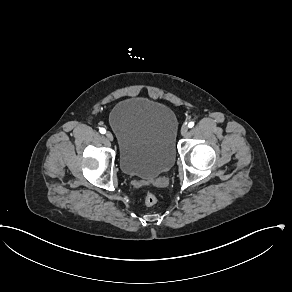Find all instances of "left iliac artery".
Here are the masks:
<instances>
[{
  "mask_svg": "<svg viewBox=\"0 0 292 292\" xmlns=\"http://www.w3.org/2000/svg\"><path fill=\"white\" fill-rule=\"evenodd\" d=\"M193 126H194V122L193 121H191V122L188 123V127L189 128H192Z\"/></svg>",
  "mask_w": 292,
  "mask_h": 292,
  "instance_id": "44dca946",
  "label": "left iliac artery"
}]
</instances>
